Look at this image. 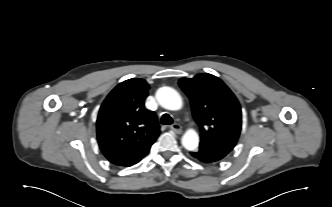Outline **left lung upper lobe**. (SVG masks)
Returning <instances> with one entry per match:
<instances>
[{
    "instance_id": "left-lung-upper-lobe-1",
    "label": "left lung upper lobe",
    "mask_w": 332,
    "mask_h": 207,
    "mask_svg": "<svg viewBox=\"0 0 332 207\" xmlns=\"http://www.w3.org/2000/svg\"><path fill=\"white\" fill-rule=\"evenodd\" d=\"M181 89L190 98L192 113L200 127V147L228 154L241 130V107L222 80L211 74L181 78Z\"/></svg>"
}]
</instances>
